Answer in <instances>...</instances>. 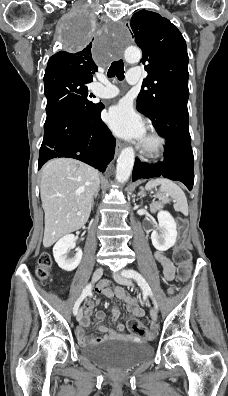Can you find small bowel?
<instances>
[{"label":"small bowel","instance_id":"obj_1","mask_svg":"<svg viewBox=\"0 0 228 396\" xmlns=\"http://www.w3.org/2000/svg\"><path fill=\"white\" fill-rule=\"evenodd\" d=\"M155 258L162 268V272L165 279L168 281L173 280L175 275V267L171 262V260L163 252H156ZM98 290L102 295L108 298L120 299L127 304L129 310L128 321L131 319L141 318L144 315V312L139 307L137 300L130 297L123 288L116 287L115 289H112L110 288L109 283L107 281H103L98 286ZM169 292L170 293L174 292L173 286L169 288ZM96 303H98V300H96L95 302L87 301L84 304V314L82 315V319L80 320L79 326L76 329V335L81 344L97 343L103 339H108V338L142 339L140 336L137 335L132 336L124 333L125 330L124 324H118L115 329H111L98 324L97 325L98 329L101 332L105 333V335L103 337H88L85 332V327L89 325V317ZM119 314H120L119 307L115 304L113 309V320H117ZM95 317L96 320L100 322L105 318V314L102 311H98Z\"/></svg>","mask_w":228,"mask_h":396}]
</instances>
